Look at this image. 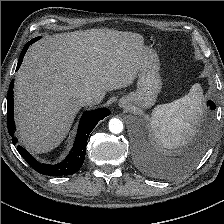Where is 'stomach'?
<instances>
[{
    "instance_id": "obj_1",
    "label": "stomach",
    "mask_w": 224,
    "mask_h": 224,
    "mask_svg": "<svg viewBox=\"0 0 224 224\" xmlns=\"http://www.w3.org/2000/svg\"><path fill=\"white\" fill-rule=\"evenodd\" d=\"M161 87L158 56L147 48L145 59L138 73L137 89L135 92L122 97L121 101L127 99L129 106L148 108L155 103Z\"/></svg>"
}]
</instances>
